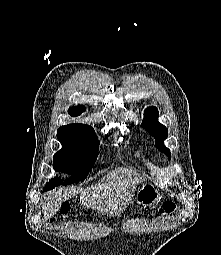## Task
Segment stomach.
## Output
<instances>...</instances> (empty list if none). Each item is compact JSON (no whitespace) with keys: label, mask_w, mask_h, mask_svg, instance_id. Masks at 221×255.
Returning <instances> with one entry per match:
<instances>
[{"label":"stomach","mask_w":221,"mask_h":255,"mask_svg":"<svg viewBox=\"0 0 221 255\" xmlns=\"http://www.w3.org/2000/svg\"><path fill=\"white\" fill-rule=\"evenodd\" d=\"M160 200V191L151 183H142L136 193V202L143 207H150Z\"/></svg>","instance_id":"1"}]
</instances>
